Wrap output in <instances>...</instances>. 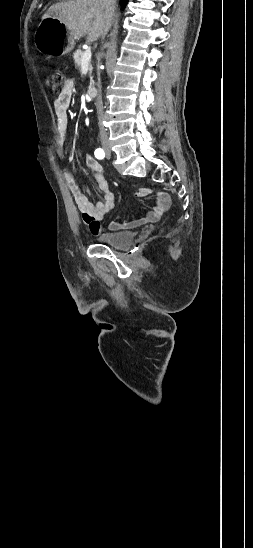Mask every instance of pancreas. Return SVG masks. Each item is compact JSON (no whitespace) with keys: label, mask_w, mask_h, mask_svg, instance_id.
I'll return each mask as SVG.
<instances>
[{"label":"pancreas","mask_w":253,"mask_h":548,"mask_svg":"<svg viewBox=\"0 0 253 548\" xmlns=\"http://www.w3.org/2000/svg\"><path fill=\"white\" fill-rule=\"evenodd\" d=\"M83 54H84V52L81 49H78L77 51H75L73 53L74 61H75L76 65L79 68L82 66V56H83ZM89 71H90V73L92 72V66H91L90 63H89Z\"/></svg>","instance_id":"cf45deb5"}]
</instances>
